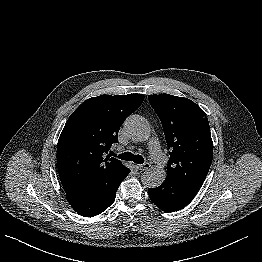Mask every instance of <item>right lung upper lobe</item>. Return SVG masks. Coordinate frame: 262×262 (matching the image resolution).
I'll return each mask as SVG.
<instances>
[{"label": "right lung upper lobe", "mask_w": 262, "mask_h": 262, "mask_svg": "<svg viewBox=\"0 0 262 262\" xmlns=\"http://www.w3.org/2000/svg\"><path fill=\"white\" fill-rule=\"evenodd\" d=\"M143 94L101 95L85 100L69 117L57 145L60 180L66 193L109 189L129 169L106 153L118 141L124 120L136 111Z\"/></svg>", "instance_id": "obj_1"}]
</instances>
